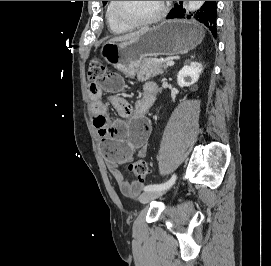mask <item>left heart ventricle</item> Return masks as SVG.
Instances as JSON below:
<instances>
[{
    "mask_svg": "<svg viewBox=\"0 0 271 266\" xmlns=\"http://www.w3.org/2000/svg\"><path fill=\"white\" fill-rule=\"evenodd\" d=\"M161 1H122V12L134 20H144L155 15Z\"/></svg>",
    "mask_w": 271,
    "mask_h": 266,
    "instance_id": "1",
    "label": "left heart ventricle"
}]
</instances>
